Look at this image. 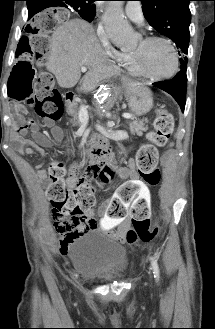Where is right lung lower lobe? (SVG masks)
<instances>
[{
    "instance_id": "obj_1",
    "label": "right lung lower lobe",
    "mask_w": 215,
    "mask_h": 329,
    "mask_svg": "<svg viewBox=\"0 0 215 329\" xmlns=\"http://www.w3.org/2000/svg\"><path fill=\"white\" fill-rule=\"evenodd\" d=\"M27 7H28L29 18H31L36 13L43 10L42 3L41 1L38 0H27Z\"/></svg>"
}]
</instances>
